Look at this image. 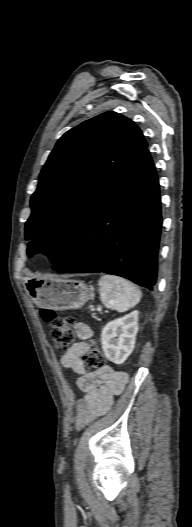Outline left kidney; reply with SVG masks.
<instances>
[{"label":"left kidney","instance_id":"1","mask_svg":"<svg viewBox=\"0 0 192 527\" xmlns=\"http://www.w3.org/2000/svg\"><path fill=\"white\" fill-rule=\"evenodd\" d=\"M137 332L138 311L107 323L101 333L106 358L115 364L124 363L134 350Z\"/></svg>","mask_w":192,"mask_h":527}]
</instances>
